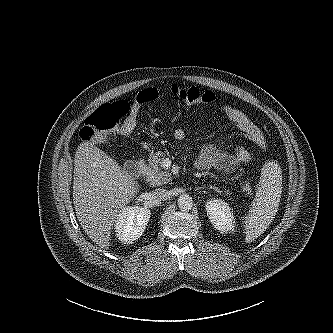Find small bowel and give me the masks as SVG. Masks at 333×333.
Masks as SVG:
<instances>
[{
	"mask_svg": "<svg viewBox=\"0 0 333 333\" xmlns=\"http://www.w3.org/2000/svg\"><path fill=\"white\" fill-rule=\"evenodd\" d=\"M221 111L244 138L259 149H266L264 134L244 112L229 104L222 105ZM174 137L179 141H183L187 137V131L183 128H176ZM250 160L251 155L243 146H237L233 153H227L214 145H206L200 150L195 166L197 169L214 167L223 172H232L240 164L247 163Z\"/></svg>",
	"mask_w": 333,
	"mask_h": 333,
	"instance_id": "small-bowel-1",
	"label": "small bowel"
}]
</instances>
